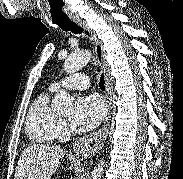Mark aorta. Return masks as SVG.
Wrapping results in <instances>:
<instances>
[{"mask_svg": "<svg viewBox=\"0 0 183 179\" xmlns=\"http://www.w3.org/2000/svg\"><path fill=\"white\" fill-rule=\"evenodd\" d=\"M90 60L89 51H82L79 53L71 54L64 63V71L66 73H74L83 68ZM73 106V97L64 90H60L52 101V108L69 111ZM104 159H100L91 173L90 179H101L104 170Z\"/></svg>", "mask_w": 183, "mask_h": 179, "instance_id": "obj_1", "label": "aorta"}]
</instances>
